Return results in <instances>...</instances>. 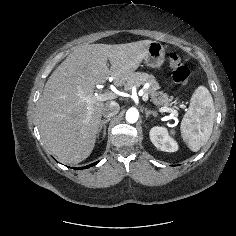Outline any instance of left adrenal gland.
Here are the masks:
<instances>
[{"label": "left adrenal gland", "instance_id": "obj_1", "mask_svg": "<svg viewBox=\"0 0 236 236\" xmlns=\"http://www.w3.org/2000/svg\"><path fill=\"white\" fill-rule=\"evenodd\" d=\"M145 114H146V119H148V117H149L150 115H153L154 117L157 116L156 111L148 110L147 108H145Z\"/></svg>", "mask_w": 236, "mask_h": 236}]
</instances>
